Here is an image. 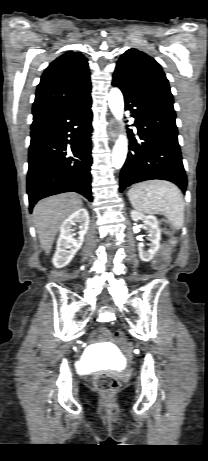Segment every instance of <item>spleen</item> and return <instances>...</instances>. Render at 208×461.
<instances>
[{
    "instance_id": "1",
    "label": "spleen",
    "mask_w": 208,
    "mask_h": 461,
    "mask_svg": "<svg viewBox=\"0 0 208 461\" xmlns=\"http://www.w3.org/2000/svg\"><path fill=\"white\" fill-rule=\"evenodd\" d=\"M131 205L144 214H162L177 229L184 224V200L180 189L165 180L133 185L127 193Z\"/></svg>"
}]
</instances>
